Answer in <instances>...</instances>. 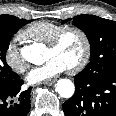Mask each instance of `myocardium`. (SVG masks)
<instances>
[{
  "label": "myocardium",
  "instance_id": "1",
  "mask_svg": "<svg viewBox=\"0 0 116 116\" xmlns=\"http://www.w3.org/2000/svg\"><path fill=\"white\" fill-rule=\"evenodd\" d=\"M69 32L77 33L81 37L84 46L83 55L80 58V60L76 64L68 68V71L70 73H76L81 71L84 67H86L91 57L92 52L91 40L85 30H83L78 26H64L53 36L51 41L47 44V47L50 49L58 48L64 36Z\"/></svg>",
  "mask_w": 116,
  "mask_h": 116
}]
</instances>
